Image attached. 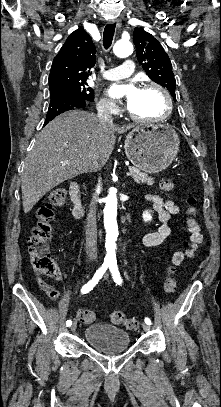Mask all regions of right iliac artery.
<instances>
[{"mask_svg":"<svg viewBox=\"0 0 221 407\" xmlns=\"http://www.w3.org/2000/svg\"><path fill=\"white\" fill-rule=\"evenodd\" d=\"M107 268H108V265L103 264V265L96 271V273L94 274L93 278H92L87 284H85V285L82 287V289H81L82 294L88 293L89 291H91V290L95 287V285L98 283V281L102 278V276H103L104 273L106 272ZM71 324H72V321H71V320H68V321L66 322V326H67V327L71 326Z\"/></svg>","mask_w":221,"mask_h":407,"instance_id":"right-iliac-artery-1","label":"right iliac artery"}]
</instances>
